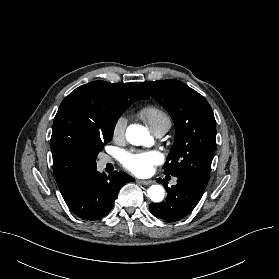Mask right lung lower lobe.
<instances>
[{
  "mask_svg": "<svg viewBox=\"0 0 279 279\" xmlns=\"http://www.w3.org/2000/svg\"><path fill=\"white\" fill-rule=\"evenodd\" d=\"M131 181L134 179L122 171H114L107 177L96 166H89L63 198L76 216L94 221L109 213L121 187Z\"/></svg>",
  "mask_w": 279,
  "mask_h": 279,
  "instance_id": "obj_1",
  "label": "right lung lower lobe"
}]
</instances>
